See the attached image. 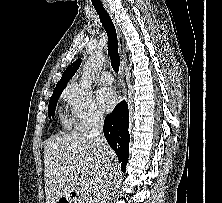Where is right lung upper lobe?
<instances>
[{
    "label": "right lung upper lobe",
    "mask_w": 222,
    "mask_h": 203,
    "mask_svg": "<svg viewBox=\"0 0 222 203\" xmlns=\"http://www.w3.org/2000/svg\"><path fill=\"white\" fill-rule=\"evenodd\" d=\"M81 59L76 60L72 63L62 74L60 81L57 83L56 87L54 88L53 92L56 91H63L64 88L67 86V82L74 76L78 68L80 67Z\"/></svg>",
    "instance_id": "right-lung-upper-lobe-1"
}]
</instances>
